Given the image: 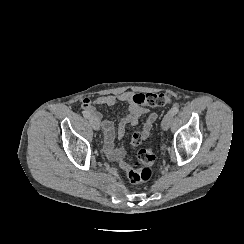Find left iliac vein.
Listing matches in <instances>:
<instances>
[{"label": "left iliac vein", "instance_id": "4c4485c4", "mask_svg": "<svg viewBox=\"0 0 244 244\" xmlns=\"http://www.w3.org/2000/svg\"><path fill=\"white\" fill-rule=\"evenodd\" d=\"M173 119L174 116L171 113H167L162 120V129L165 131L168 130Z\"/></svg>", "mask_w": 244, "mask_h": 244}]
</instances>
